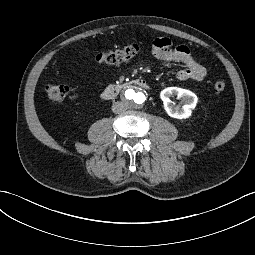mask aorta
Masks as SVG:
<instances>
[{"mask_svg":"<svg viewBox=\"0 0 255 255\" xmlns=\"http://www.w3.org/2000/svg\"><path fill=\"white\" fill-rule=\"evenodd\" d=\"M123 98L130 107H141L146 100L145 94L138 87H130L123 93Z\"/></svg>","mask_w":255,"mask_h":255,"instance_id":"1","label":"aorta"}]
</instances>
